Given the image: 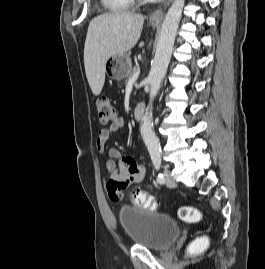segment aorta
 <instances>
[{
    "label": "aorta",
    "mask_w": 265,
    "mask_h": 269,
    "mask_svg": "<svg viewBox=\"0 0 265 269\" xmlns=\"http://www.w3.org/2000/svg\"><path fill=\"white\" fill-rule=\"evenodd\" d=\"M185 0H174L163 21L156 53L148 75L150 85L149 106L142 118L141 134L151 158H160L161 147L153 132L152 102L156 97L163 81L173 51L178 25L182 16Z\"/></svg>",
    "instance_id": "obj_1"
}]
</instances>
